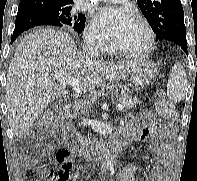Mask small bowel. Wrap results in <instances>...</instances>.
<instances>
[{"mask_svg":"<svg viewBox=\"0 0 197 181\" xmlns=\"http://www.w3.org/2000/svg\"><path fill=\"white\" fill-rule=\"evenodd\" d=\"M130 131L122 132L129 140L141 141L145 149L158 154L160 160L151 169L148 181H170V175L174 160L172 140L174 126L162 122L154 117L151 112L143 111L136 117L128 120ZM140 171L138 162H130L123 169L119 181H136V175Z\"/></svg>","mask_w":197,"mask_h":181,"instance_id":"c3829d8e","label":"small bowel"}]
</instances>
